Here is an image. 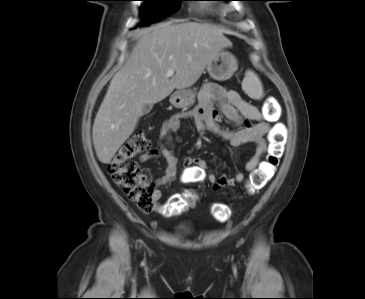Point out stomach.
I'll return each instance as SVG.
<instances>
[{
	"label": "stomach",
	"mask_w": 365,
	"mask_h": 299,
	"mask_svg": "<svg viewBox=\"0 0 365 299\" xmlns=\"http://www.w3.org/2000/svg\"><path fill=\"white\" fill-rule=\"evenodd\" d=\"M237 68L235 56L224 50H220L207 65L210 77L219 81L230 79ZM195 96V89L178 90L170 96V103L176 108H183L190 105Z\"/></svg>",
	"instance_id": "obj_1"
}]
</instances>
